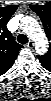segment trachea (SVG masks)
<instances>
[{
    "mask_svg": "<svg viewBox=\"0 0 51 101\" xmlns=\"http://www.w3.org/2000/svg\"><path fill=\"white\" fill-rule=\"evenodd\" d=\"M17 40H18V42L21 43V44H25V43L28 42V38H27V36L24 35V34H19V36L17 37Z\"/></svg>",
    "mask_w": 51,
    "mask_h": 101,
    "instance_id": "trachea-1",
    "label": "trachea"
}]
</instances>
